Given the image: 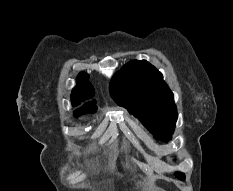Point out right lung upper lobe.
I'll return each mask as SVG.
<instances>
[{"label": "right lung upper lobe", "instance_id": "obj_1", "mask_svg": "<svg viewBox=\"0 0 233 191\" xmlns=\"http://www.w3.org/2000/svg\"><path fill=\"white\" fill-rule=\"evenodd\" d=\"M89 75L87 73H80L77 78V85L73 89L71 99L73 102V106H77L80 102L85 101L86 99H90L94 96L95 91L93 86L88 81ZM97 110V106L94 102L85 103L79 110L76 112V116L86 113V112H95Z\"/></svg>", "mask_w": 233, "mask_h": 191}]
</instances>
